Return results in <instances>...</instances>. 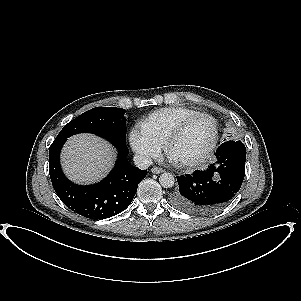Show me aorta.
Returning <instances> with one entry per match:
<instances>
[{
	"mask_svg": "<svg viewBox=\"0 0 301 301\" xmlns=\"http://www.w3.org/2000/svg\"><path fill=\"white\" fill-rule=\"evenodd\" d=\"M159 183L163 188H171L174 186L175 178L171 173L165 172L160 175Z\"/></svg>",
	"mask_w": 301,
	"mask_h": 301,
	"instance_id": "762f6f07",
	"label": "aorta"
}]
</instances>
